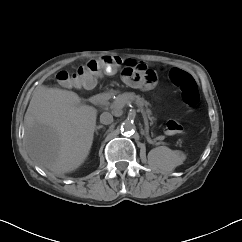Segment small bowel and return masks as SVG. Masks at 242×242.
<instances>
[{"instance_id": "1", "label": "small bowel", "mask_w": 242, "mask_h": 242, "mask_svg": "<svg viewBox=\"0 0 242 242\" xmlns=\"http://www.w3.org/2000/svg\"><path fill=\"white\" fill-rule=\"evenodd\" d=\"M123 78H124V81L127 83V84H130V85H133V84H131L128 80H127V78L123 75Z\"/></svg>"}]
</instances>
